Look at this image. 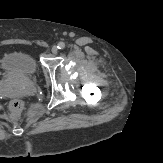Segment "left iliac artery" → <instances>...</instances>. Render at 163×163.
Returning <instances> with one entry per match:
<instances>
[{
	"instance_id": "left-iliac-artery-1",
	"label": "left iliac artery",
	"mask_w": 163,
	"mask_h": 163,
	"mask_svg": "<svg viewBox=\"0 0 163 163\" xmlns=\"http://www.w3.org/2000/svg\"><path fill=\"white\" fill-rule=\"evenodd\" d=\"M57 47H58V49L62 50V49L65 48V43L64 42H59Z\"/></svg>"
}]
</instances>
